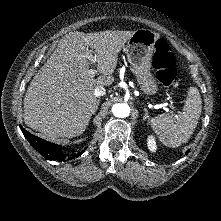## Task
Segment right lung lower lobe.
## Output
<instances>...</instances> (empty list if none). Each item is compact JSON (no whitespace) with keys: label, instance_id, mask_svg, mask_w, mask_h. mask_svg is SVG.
Returning a JSON list of instances; mask_svg holds the SVG:
<instances>
[{"label":"right lung lower lobe","instance_id":"obj_1","mask_svg":"<svg viewBox=\"0 0 221 221\" xmlns=\"http://www.w3.org/2000/svg\"><path fill=\"white\" fill-rule=\"evenodd\" d=\"M25 138L29 141L31 146L36 149L43 157L48 160H58V161H65L67 158V154L62 152V148L60 145L47 142L37 136L32 135L31 133L27 132L23 127H20ZM86 150V149H85ZM84 150L79 152L77 155L73 154L68 160L73 159L75 156H80Z\"/></svg>","mask_w":221,"mask_h":221}]
</instances>
